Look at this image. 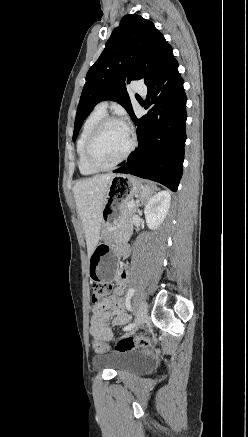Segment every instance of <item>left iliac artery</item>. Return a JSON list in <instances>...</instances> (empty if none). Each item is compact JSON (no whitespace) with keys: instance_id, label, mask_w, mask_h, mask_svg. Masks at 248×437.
<instances>
[{"instance_id":"left-iliac-artery-1","label":"left iliac artery","mask_w":248,"mask_h":437,"mask_svg":"<svg viewBox=\"0 0 248 437\" xmlns=\"http://www.w3.org/2000/svg\"><path fill=\"white\" fill-rule=\"evenodd\" d=\"M134 292H135L134 288H130L128 293H127L126 303L125 304H126V307H127V309L129 311H133L130 300H131L132 296L134 295ZM135 325H136V322L131 323V324L125 326L123 328V330L124 331H130L131 329H133L135 327Z\"/></svg>"}]
</instances>
